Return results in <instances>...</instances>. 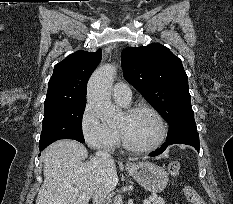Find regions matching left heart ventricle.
Here are the masks:
<instances>
[{
    "label": "left heart ventricle",
    "mask_w": 233,
    "mask_h": 204,
    "mask_svg": "<svg viewBox=\"0 0 233 204\" xmlns=\"http://www.w3.org/2000/svg\"><path fill=\"white\" fill-rule=\"evenodd\" d=\"M116 127L121 128L130 143L138 147L152 145L160 133L157 120L147 111H140L132 116H127L123 112Z\"/></svg>",
    "instance_id": "left-heart-ventricle-1"
}]
</instances>
